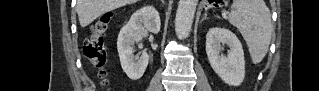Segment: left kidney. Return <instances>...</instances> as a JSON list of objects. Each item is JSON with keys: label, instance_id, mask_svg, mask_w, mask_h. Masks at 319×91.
I'll return each instance as SVG.
<instances>
[{"label": "left kidney", "instance_id": "left-kidney-1", "mask_svg": "<svg viewBox=\"0 0 319 91\" xmlns=\"http://www.w3.org/2000/svg\"><path fill=\"white\" fill-rule=\"evenodd\" d=\"M222 45L229 46L227 56L221 54ZM206 53L213 70L228 85L239 86L245 77L242 44L228 29L213 27L206 35Z\"/></svg>", "mask_w": 319, "mask_h": 91}]
</instances>
